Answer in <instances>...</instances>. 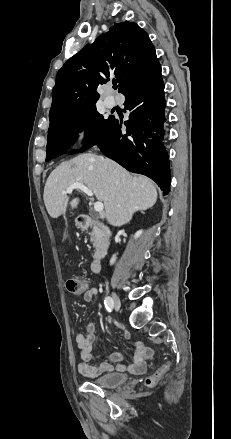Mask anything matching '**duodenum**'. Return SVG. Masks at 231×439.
Masks as SVG:
<instances>
[{"instance_id":"duodenum-1","label":"duodenum","mask_w":231,"mask_h":439,"mask_svg":"<svg viewBox=\"0 0 231 439\" xmlns=\"http://www.w3.org/2000/svg\"><path fill=\"white\" fill-rule=\"evenodd\" d=\"M78 223L81 228H94L104 236L102 244L95 250L93 254L90 265L93 272H99L101 270L102 259L108 252L110 233L103 223L89 215H80L78 217Z\"/></svg>"}]
</instances>
